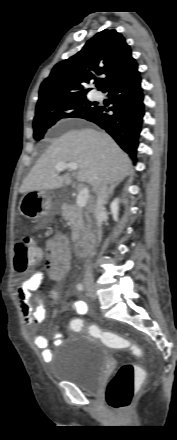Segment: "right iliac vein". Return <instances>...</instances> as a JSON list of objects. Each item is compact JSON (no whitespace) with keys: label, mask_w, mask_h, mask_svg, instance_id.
I'll return each mask as SVG.
<instances>
[{"label":"right iliac vein","mask_w":177,"mask_h":440,"mask_svg":"<svg viewBox=\"0 0 177 440\" xmlns=\"http://www.w3.org/2000/svg\"><path fill=\"white\" fill-rule=\"evenodd\" d=\"M85 288L88 291V293L90 294V296L96 297V289H95V285H94L93 282L86 281L85 282Z\"/></svg>","instance_id":"right-iliac-vein-1"}]
</instances>
